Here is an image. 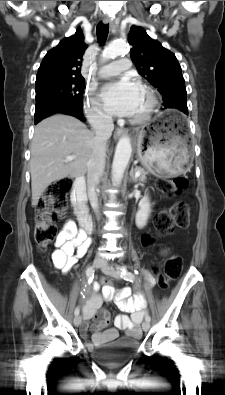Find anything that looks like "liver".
I'll return each instance as SVG.
<instances>
[{
    "label": "liver",
    "mask_w": 225,
    "mask_h": 395,
    "mask_svg": "<svg viewBox=\"0 0 225 395\" xmlns=\"http://www.w3.org/2000/svg\"><path fill=\"white\" fill-rule=\"evenodd\" d=\"M94 138L95 133L84 123L63 114L50 116L35 127L30 149L32 206L52 182L85 175ZM67 156L75 158L65 162Z\"/></svg>",
    "instance_id": "6515ba94"
}]
</instances>
